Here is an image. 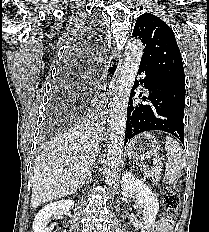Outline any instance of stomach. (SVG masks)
<instances>
[{
  "label": "stomach",
  "mask_w": 209,
  "mask_h": 232,
  "mask_svg": "<svg viewBox=\"0 0 209 232\" xmlns=\"http://www.w3.org/2000/svg\"><path fill=\"white\" fill-rule=\"evenodd\" d=\"M159 150L158 140L150 133L139 134L125 146V152L128 157L135 160H145L154 157Z\"/></svg>",
  "instance_id": "obj_1"
}]
</instances>
